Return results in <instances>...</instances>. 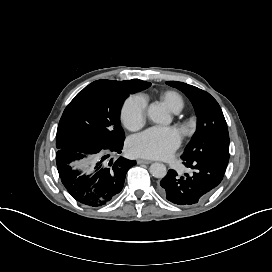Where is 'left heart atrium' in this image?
<instances>
[{
	"label": "left heart atrium",
	"mask_w": 272,
	"mask_h": 272,
	"mask_svg": "<svg viewBox=\"0 0 272 272\" xmlns=\"http://www.w3.org/2000/svg\"><path fill=\"white\" fill-rule=\"evenodd\" d=\"M180 143L179 133L173 128L152 127L133 139L128 152L136 156L166 159Z\"/></svg>",
	"instance_id": "1"
}]
</instances>
